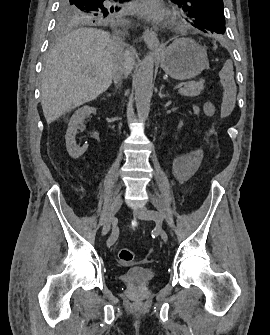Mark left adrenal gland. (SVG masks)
Masks as SVG:
<instances>
[{
    "mask_svg": "<svg viewBox=\"0 0 270 335\" xmlns=\"http://www.w3.org/2000/svg\"><path fill=\"white\" fill-rule=\"evenodd\" d=\"M163 88H164V86H161V88H160V94H162L161 90H163Z\"/></svg>",
    "mask_w": 270,
    "mask_h": 335,
    "instance_id": "1",
    "label": "left adrenal gland"
}]
</instances>
